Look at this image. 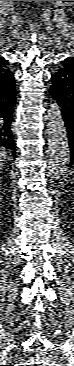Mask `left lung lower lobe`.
Segmentation results:
<instances>
[{
  "label": "left lung lower lobe",
  "instance_id": "1",
  "mask_svg": "<svg viewBox=\"0 0 74 366\" xmlns=\"http://www.w3.org/2000/svg\"><path fill=\"white\" fill-rule=\"evenodd\" d=\"M51 96L61 108L68 133L71 162L74 165V57L62 61V65L52 75Z\"/></svg>",
  "mask_w": 74,
  "mask_h": 366
}]
</instances>
